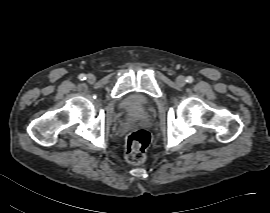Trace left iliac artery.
Returning a JSON list of instances; mask_svg holds the SVG:
<instances>
[{
	"instance_id": "left-iliac-artery-1",
	"label": "left iliac artery",
	"mask_w": 270,
	"mask_h": 213,
	"mask_svg": "<svg viewBox=\"0 0 270 213\" xmlns=\"http://www.w3.org/2000/svg\"><path fill=\"white\" fill-rule=\"evenodd\" d=\"M186 82H188V83L193 82V78H192L191 76H188V77L186 78Z\"/></svg>"
}]
</instances>
